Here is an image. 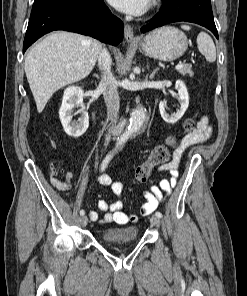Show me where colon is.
Returning a JSON list of instances; mask_svg holds the SVG:
<instances>
[{"instance_id": "obj_1", "label": "colon", "mask_w": 247, "mask_h": 296, "mask_svg": "<svg viewBox=\"0 0 247 296\" xmlns=\"http://www.w3.org/2000/svg\"><path fill=\"white\" fill-rule=\"evenodd\" d=\"M195 128V121L193 119H187L183 125L185 133H192ZM177 145V136L171 135L167 138L164 144L156 146L151 152L148 159L139 165L135 171V180L137 183H145L151 171L156 166L166 163L171 156L172 151Z\"/></svg>"}]
</instances>
